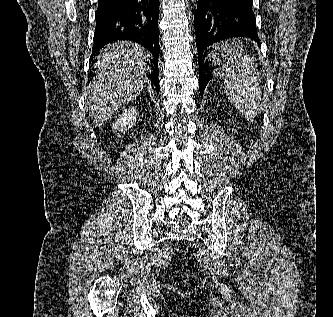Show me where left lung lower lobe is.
<instances>
[{
	"label": "left lung lower lobe",
	"mask_w": 333,
	"mask_h": 317,
	"mask_svg": "<svg viewBox=\"0 0 333 317\" xmlns=\"http://www.w3.org/2000/svg\"><path fill=\"white\" fill-rule=\"evenodd\" d=\"M252 0H198L194 15L199 64V89L204 90L221 66L222 48L210 53L208 46L234 37H248L260 45Z\"/></svg>",
	"instance_id": "1"
}]
</instances>
